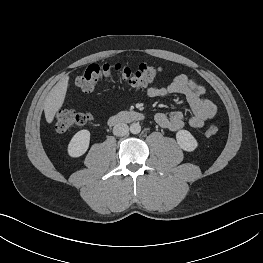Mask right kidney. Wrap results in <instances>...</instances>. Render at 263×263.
Returning a JSON list of instances; mask_svg holds the SVG:
<instances>
[{"mask_svg": "<svg viewBox=\"0 0 263 263\" xmlns=\"http://www.w3.org/2000/svg\"><path fill=\"white\" fill-rule=\"evenodd\" d=\"M90 143V132L88 130L78 131L70 140L68 154L71 157H80L88 149Z\"/></svg>", "mask_w": 263, "mask_h": 263, "instance_id": "ca27d5eb", "label": "right kidney"}]
</instances>
